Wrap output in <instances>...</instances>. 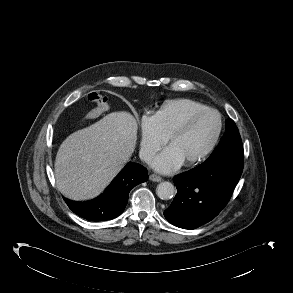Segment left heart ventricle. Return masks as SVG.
Segmentation results:
<instances>
[{
    "label": "left heart ventricle",
    "mask_w": 293,
    "mask_h": 293,
    "mask_svg": "<svg viewBox=\"0 0 293 293\" xmlns=\"http://www.w3.org/2000/svg\"><path fill=\"white\" fill-rule=\"evenodd\" d=\"M218 127L214 114H205L196 119L182 135L173 139L169 146L178 154L183 163L199 155L211 142Z\"/></svg>",
    "instance_id": "left-heart-ventricle-1"
}]
</instances>
